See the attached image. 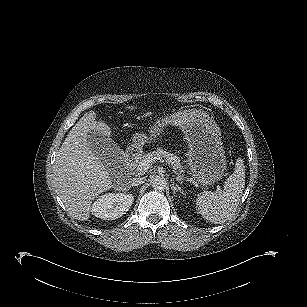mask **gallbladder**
Here are the masks:
<instances>
[{
  "mask_svg": "<svg viewBox=\"0 0 307 307\" xmlns=\"http://www.w3.org/2000/svg\"><path fill=\"white\" fill-rule=\"evenodd\" d=\"M88 144L94 154L104 163L112 162L111 160L118 159L122 156L121 148L115 142L109 141L98 132L89 133Z\"/></svg>",
  "mask_w": 307,
  "mask_h": 307,
  "instance_id": "obj_1",
  "label": "gallbladder"
}]
</instances>
